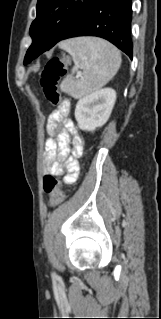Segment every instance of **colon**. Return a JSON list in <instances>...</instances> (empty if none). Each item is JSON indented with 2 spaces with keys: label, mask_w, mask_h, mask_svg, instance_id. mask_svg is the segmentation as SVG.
I'll return each mask as SVG.
<instances>
[{
  "label": "colon",
  "mask_w": 161,
  "mask_h": 319,
  "mask_svg": "<svg viewBox=\"0 0 161 319\" xmlns=\"http://www.w3.org/2000/svg\"><path fill=\"white\" fill-rule=\"evenodd\" d=\"M66 59L54 57L50 59L40 74V85L46 99L53 105L60 107L65 115L69 113L70 106L63 101L58 92V83L65 75ZM43 191L48 194L50 205L53 207L60 206L64 193L60 190V182L53 176L47 175L43 180Z\"/></svg>",
  "instance_id": "5ec220e1"
}]
</instances>
